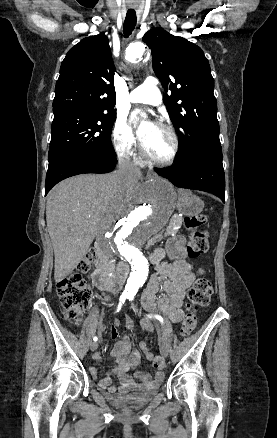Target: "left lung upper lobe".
<instances>
[{"mask_svg": "<svg viewBox=\"0 0 277 438\" xmlns=\"http://www.w3.org/2000/svg\"><path fill=\"white\" fill-rule=\"evenodd\" d=\"M151 49L153 69L167 91L164 103L177 131L181 154L177 163L196 158L210 147H221L214 79L200 47L161 29L143 36Z\"/></svg>", "mask_w": 277, "mask_h": 438, "instance_id": "left-lung-upper-lobe-1", "label": "left lung upper lobe"}]
</instances>
